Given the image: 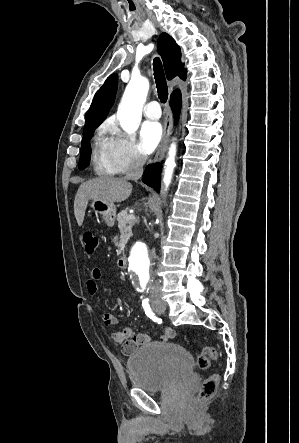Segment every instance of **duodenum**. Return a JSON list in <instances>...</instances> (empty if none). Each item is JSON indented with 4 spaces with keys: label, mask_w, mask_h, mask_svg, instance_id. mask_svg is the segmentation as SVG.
Returning a JSON list of instances; mask_svg holds the SVG:
<instances>
[{
    "label": "duodenum",
    "mask_w": 299,
    "mask_h": 443,
    "mask_svg": "<svg viewBox=\"0 0 299 443\" xmlns=\"http://www.w3.org/2000/svg\"><path fill=\"white\" fill-rule=\"evenodd\" d=\"M117 266L119 269H125L127 267V258L121 256L117 259Z\"/></svg>",
    "instance_id": "duodenum-1"
}]
</instances>
